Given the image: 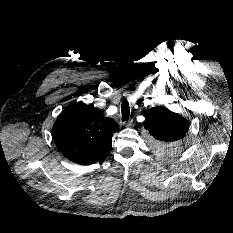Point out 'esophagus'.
<instances>
[{"mask_svg": "<svg viewBox=\"0 0 233 233\" xmlns=\"http://www.w3.org/2000/svg\"><path fill=\"white\" fill-rule=\"evenodd\" d=\"M132 124H133V120L130 119L128 122L124 123V126L130 127V126H132Z\"/></svg>", "mask_w": 233, "mask_h": 233, "instance_id": "1", "label": "esophagus"}]
</instances>
